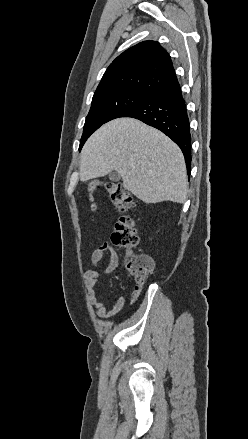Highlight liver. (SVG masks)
<instances>
[{
  "instance_id": "liver-1",
  "label": "liver",
  "mask_w": 248,
  "mask_h": 439,
  "mask_svg": "<svg viewBox=\"0 0 248 439\" xmlns=\"http://www.w3.org/2000/svg\"><path fill=\"white\" fill-rule=\"evenodd\" d=\"M115 170L123 186L145 203H184L188 182L180 148L161 131L133 118L101 126L81 152L80 180Z\"/></svg>"
}]
</instances>
